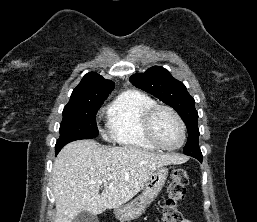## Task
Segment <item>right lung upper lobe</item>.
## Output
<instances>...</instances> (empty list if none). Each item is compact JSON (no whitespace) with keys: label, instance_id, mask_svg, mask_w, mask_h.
Returning <instances> with one entry per match:
<instances>
[{"label":"right lung upper lobe","instance_id":"cb5924a9","mask_svg":"<svg viewBox=\"0 0 257 222\" xmlns=\"http://www.w3.org/2000/svg\"><path fill=\"white\" fill-rule=\"evenodd\" d=\"M115 85L97 73L89 72L82 78L79 85L73 90L70 101L89 98L108 97Z\"/></svg>","mask_w":257,"mask_h":222}]
</instances>
